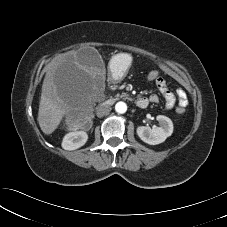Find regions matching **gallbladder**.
I'll return each instance as SVG.
<instances>
[{
  "label": "gallbladder",
  "instance_id": "bac80fb5",
  "mask_svg": "<svg viewBox=\"0 0 227 227\" xmlns=\"http://www.w3.org/2000/svg\"><path fill=\"white\" fill-rule=\"evenodd\" d=\"M78 58L84 66L94 68L95 72L98 74L103 73L105 70L101 56L94 48H84L80 50L78 52Z\"/></svg>",
  "mask_w": 227,
  "mask_h": 227
}]
</instances>
